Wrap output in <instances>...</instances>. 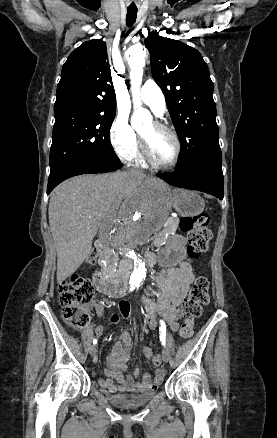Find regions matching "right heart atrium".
Segmentation results:
<instances>
[{"label":"right heart atrium","mask_w":277,"mask_h":438,"mask_svg":"<svg viewBox=\"0 0 277 438\" xmlns=\"http://www.w3.org/2000/svg\"><path fill=\"white\" fill-rule=\"evenodd\" d=\"M110 138L115 151L124 159L137 155L138 138L125 113L118 112L110 129Z\"/></svg>","instance_id":"right-heart-atrium-1"}]
</instances>
